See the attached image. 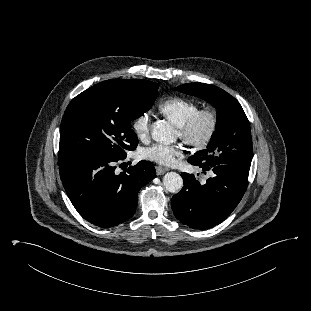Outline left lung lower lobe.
Returning <instances> with one entry per match:
<instances>
[{
    "label": "left lung lower lobe",
    "mask_w": 311,
    "mask_h": 311,
    "mask_svg": "<svg viewBox=\"0 0 311 311\" xmlns=\"http://www.w3.org/2000/svg\"><path fill=\"white\" fill-rule=\"evenodd\" d=\"M199 167L204 174L210 172L212 177L200 184L193 174L183 173L184 186L172 197L171 206L180 222L202 230L218 225L235 209L246 191L250 168L237 165Z\"/></svg>",
    "instance_id": "obj_1"
}]
</instances>
